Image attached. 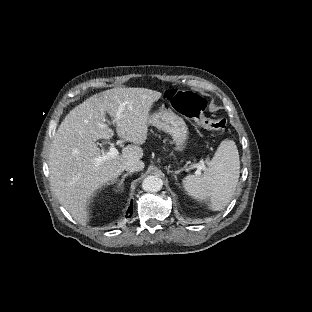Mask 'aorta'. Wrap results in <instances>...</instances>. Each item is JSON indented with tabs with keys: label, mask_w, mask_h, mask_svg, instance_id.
Segmentation results:
<instances>
[{
	"label": "aorta",
	"mask_w": 312,
	"mask_h": 312,
	"mask_svg": "<svg viewBox=\"0 0 312 312\" xmlns=\"http://www.w3.org/2000/svg\"><path fill=\"white\" fill-rule=\"evenodd\" d=\"M162 185V180L157 176H147L141 182L142 190L145 192H158Z\"/></svg>",
	"instance_id": "1"
}]
</instances>
